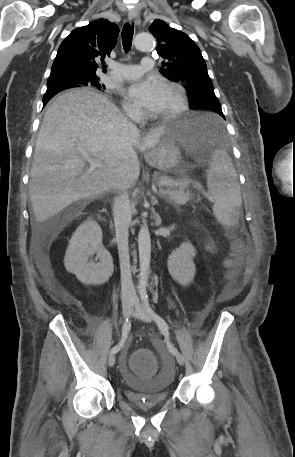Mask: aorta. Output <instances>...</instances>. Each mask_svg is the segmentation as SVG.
<instances>
[{"label": "aorta", "instance_id": "1", "mask_svg": "<svg viewBox=\"0 0 295 457\" xmlns=\"http://www.w3.org/2000/svg\"><path fill=\"white\" fill-rule=\"evenodd\" d=\"M134 46L138 50H150L154 46V37L149 33H139L134 38ZM139 249V292H146L148 272L150 268L151 238L147 225H142L138 234Z\"/></svg>", "mask_w": 295, "mask_h": 457}]
</instances>
